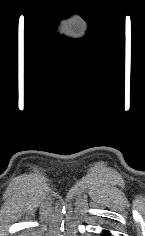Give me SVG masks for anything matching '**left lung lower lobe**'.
I'll return each instance as SVG.
<instances>
[{
    "instance_id": "0a47b994",
    "label": "left lung lower lobe",
    "mask_w": 145,
    "mask_h": 236,
    "mask_svg": "<svg viewBox=\"0 0 145 236\" xmlns=\"http://www.w3.org/2000/svg\"><path fill=\"white\" fill-rule=\"evenodd\" d=\"M102 236H110V232L108 230H104Z\"/></svg>"
}]
</instances>
